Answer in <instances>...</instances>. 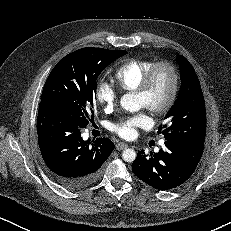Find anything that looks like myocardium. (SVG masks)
<instances>
[{
	"label": "myocardium",
	"instance_id": "obj_1",
	"mask_svg": "<svg viewBox=\"0 0 231 231\" xmlns=\"http://www.w3.org/2000/svg\"><path fill=\"white\" fill-rule=\"evenodd\" d=\"M167 69L171 75V88L169 95L165 102L159 106L147 104L145 107L148 108L154 115L162 116L167 114L174 106L179 90H180V75L177 67L170 61L162 60L153 64V66L146 72L140 85L135 90L137 95L146 97L148 96L151 87L153 85L155 75L160 69Z\"/></svg>",
	"mask_w": 231,
	"mask_h": 231
}]
</instances>
